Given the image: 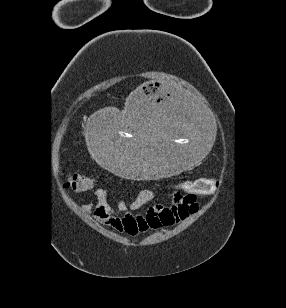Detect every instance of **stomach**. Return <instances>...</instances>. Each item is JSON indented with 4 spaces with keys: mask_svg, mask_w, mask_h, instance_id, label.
I'll list each match as a JSON object with an SVG mask.
<instances>
[{
    "mask_svg": "<svg viewBox=\"0 0 286 308\" xmlns=\"http://www.w3.org/2000/svg\"><path fill=\"white\" fill-rule=\"evenodd\" d=\"M173 86L143 83L129 96L125 115L94 109L84 122L92 161L111 174H124L128 182H162L209 159L217 131L213 113L205 112V100L170 91Z\"/></svg>",
    "mask_w": 286,
    "mask_h": 308,
    "instance_id": "0dacf381",
    "label": "stomach"
}]
</instances>
